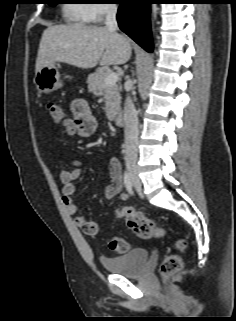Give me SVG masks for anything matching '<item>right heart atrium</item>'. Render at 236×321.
<instances>
[{
  "instance_id": "obj_1",
  "label": "right heart atrium",
  "mask_w": 236,
  "mask_h": 321,
  "mask_svg": "<svg viewBox=\"0 0 236 321\" xmlns=\"http://www.w3.org/2000/svg\"><path fill=\"white\" fill-rule=\"evenodd\" d=\"M94 3L88 5L87 18L92 22H100L106 16L116 10L114 0H93Z\"/></svg>"
}]
</instances>
